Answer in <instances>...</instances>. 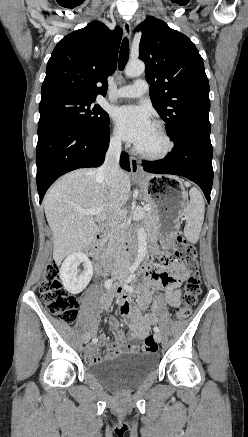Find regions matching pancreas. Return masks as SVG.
Returning <instances> with one entry per match:
<instances>
[{"label": "pancreas", "mask_w": 248, "mask_h": 437, "mask_svg": "<svg viewBox=\"0 0 248 437\" xmlns=\"http://www.w3.org/2000/svg\"><path fill=\"white\" fill-rule=\"evenodd\" d=\"M150 209L146 212L144 216V221L147 225V227L151 230L152 233H154L157 230V224H158V213L155 209V206L151 203H148ZM124 229H126V226H124ZM108 251H112L113 249V240L110 239L108 245H107Z\"/></svg>", "instance_id": "1"}]
</instances>
